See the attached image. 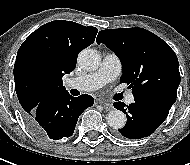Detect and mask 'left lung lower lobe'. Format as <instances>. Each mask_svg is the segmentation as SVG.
Listing matches in <instances>:
<instances>
[{
	"label": "left lung lower lobe",
	"instance_id": "obj_1",
	"mask_svg": "<svg viewBox=\"0 0 190 165\" xmlns=\"http://www.w3.org/2000/svg\"><path fill=\"white\" fill-rule=\"evenodd\" d=\"M135 102L127 105L115 102L116 109L127 116L124 128L119 129L122 136L140 139L151 135L167 118L172 102L157 98H134Z\"/></svg>",
	"mask_w": 190,
	"mask_h": 165
}]
</instances>
